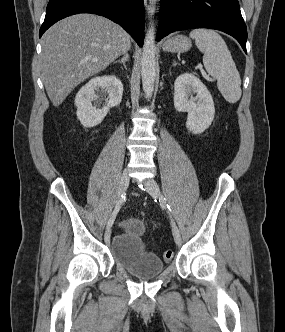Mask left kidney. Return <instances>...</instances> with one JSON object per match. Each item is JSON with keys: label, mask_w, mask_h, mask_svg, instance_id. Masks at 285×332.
<instances>
[{"label": "left kidney", "mask_w": 285, "mask_h": 332, "mask_svg": "<svg viewBox=\"0 0 285 332\" xmlns=\"http://www.w3.org/2000/svg\"><path fill=\"white\" fill-rule=\"evenodd\" d=\"M174 107L188 113L186 127L193 134L204 132L215 115L210 92L199 78L188 72L179 75L174 82Z\"/></svg>", "instance_id": "5707ae66"}]
</instances>
